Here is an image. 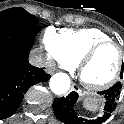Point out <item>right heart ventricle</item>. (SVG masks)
<instances>
[{
	"label": "right heart ventricle",
	"mask_w": 124,
	"mask_h": 124,
	"mask_svg": "<svg viewBox=\"0 0 124 124\" xmlns=\"http://www.w3.org/2000/svg\"><path fill=\"white\" fill-rule=\"evenodd\" d=\"M60 46L66 59L77 65L85 53L95 44L111 40L110 36L98 28L62 29L59 33Z\"/></svg>",
	"instance_id": "1"
}]
</instances>
